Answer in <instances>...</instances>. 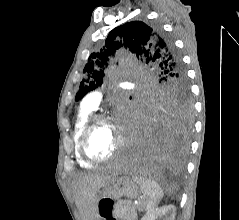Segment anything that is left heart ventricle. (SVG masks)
<instances>
[{
  "mask_svg": "<svg viewBox=\"0 0 239 220\" xmlns=\"http://www.w3.org/2000/svg\"><path fill=\"white\" fill-rule=\"evenodd\" d=\"M119 136L120 131L115 124L99 123L89 136L88 149L95 157H106L116 148Z\"/></svg>",
  "mask_w": 239,
  "mask_h": 220,
  "instance_id": "left-heart-ventricle-1",
  "label": "left heart ventricle"
}]
</instances>
